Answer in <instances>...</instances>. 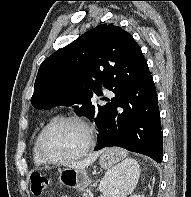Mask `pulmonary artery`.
Masks as SVG:
<instances>
[{
	"label": "pulmonary artery",
	"mask_w": 191,
	"mask_h": 197,
	"mask_svg": "<svg viewBox=\"0 0 191 197\" xmlns=\"http://www.w3.org/2000/svg\"><path fill=\"white\" fill-rule=\"evenodd\" d=\"M102 90H103V92H105L106 94H108V93H109V91H108V90H106L104 87H102Z\"/></svg>",
	"instance_id": "obj_1"
}]
</instances>
